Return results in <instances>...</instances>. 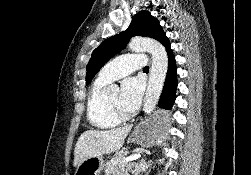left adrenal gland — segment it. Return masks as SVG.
Segmentation results:
<instances>
[{
    "label": "left adrenal gland",
    "mask_w": 251,
    "mask_h": 175,
    "mask_svg": "<svg viewBox=\"0 0 251 175\" xmlns=\"http://www.w3.org/2000/svg\"><path fill=\"white\" fill-rule=\"evenodd\" d=\"M147 169V159H139L133 163L132 173L133 175H139L141 171H146Z\"/></svg>",
    "instance_id": "a2214340"
}]
</instances>
